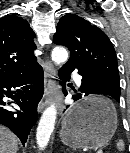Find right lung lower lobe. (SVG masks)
<instances>
[{"instance_id":"obj_1","label":"right lung lower lobe","mask_w":130,"mask_h":153,"mask_svg":"<svg viewBox=\"0 0 130 153\" xmlns=\"http://www.w3.org/2000/svg\"><path fill=\"white\" fill-rule=\"evenodd\" d=\"M43 79L41 66L26 74L0 78V124L12 130L23 145L37 120V104L44 93ZM11 88L18 89L11 91ZM3 97L13 99L22 113L8 110Z\"/></svg>"}]
</instances>
